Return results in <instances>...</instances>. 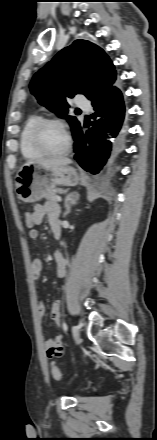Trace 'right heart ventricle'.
Wrapping results in <instances>:
<instances>
[{
    "mask_svg": "<svg viewBox=\"0 0 157 440\" xmlns=\"http://www.w3.org/2000/svg\"><path fill=\"white\" fill-rule=\"evenodd\" d=\"M41 119V116L38 114H33L29 116L23 126V129L20 134V149L22 155L26 159H38L43 156L40 152H38L30 141V133L33 126Z\"/></svg>",
    "mask_w": 157,
    "mask_h": 440,
    "instance_id": "1",
    "label": "right heart ventricle"
}]
</instances>
